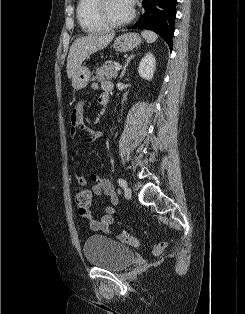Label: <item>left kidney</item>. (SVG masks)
Here are the masks:
<instances>
[{
  "mask_svg": "<svg viewBox=\"0 0 245 314\" xmlns=\"http://www.w3.org/2000/svg\"><path fill=\"white\" fill-rule=\"evenodd\" d=\"M156 67V59L154 55L149 52L140 61L138 73L141 78L150 81L153 78Z\"/></svg>",
  "mask_w": 245,
  "mask_h": 314,
  "instance_id": "left-kidney-1",
  "label": "left kidney"
}]
</instances>
